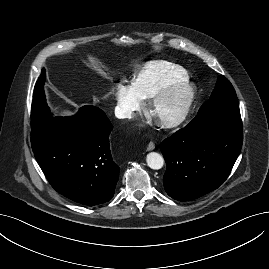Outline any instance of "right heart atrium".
Masks as SVG:
<instances>
[{"label": "right heart atrium", "instance_id": "obj_1", "mask_svg": "<svg viewBox=\"0 0 269 269\" xmlns=\"http://www.w3.org/2000/svg\"><path fill=\"white\" fill-rule=\"evenodd\" d=\"M116 112L121 118L132 119L143 107V99L132 84L120 82L115 87Z\"/></svg>", "mask_w": 269, "mask_h": 269}]
</instances>
